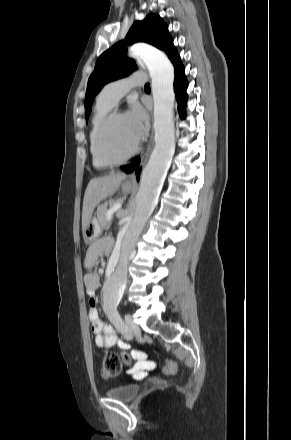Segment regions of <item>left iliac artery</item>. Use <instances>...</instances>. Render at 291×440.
Wrapping results in <instances>:
<instances>
[{
    "mask_svg": "<svg viewBox=\"0 0 291 440\" xmlns=\"http://www.w3.org/2000/svg\"><path fill=\"white\" fill-rule=\"evenodd\" d=\"M114 323H115L118 327H120V328L124 329L126 332H128L127 327L122 323V321H121V319H120L119 316H118L117 318H115Z\"/></svg>",
    "mask_w": 291,
    "mask_h": 440,
    "instance_id": "1",
    "label": "left iliac artery"
}]
</instances>
